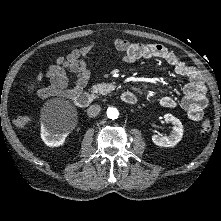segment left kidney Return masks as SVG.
Returning <instances> with one entry per match:
<instances>
[{"label":"left kidney","mask_w":221,"mask_h":221,"mask_svg":"<svg viewBox=\"0 0 221 221\" xmlns=\"http://www.w3.org/2000/svg\"><path fill=\"white\" fill-rule=\"evenodd\" d=\"M164 119L173 125L171 134L169 136L153 135L152 141L154 144L162 147L175 146L183 136V125L178 118L170 113L165 114Z\"/></svg>","instance_id":"left-kidney-1"}]
</instances>
